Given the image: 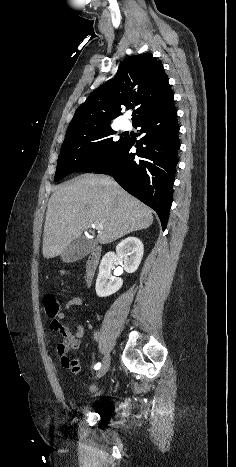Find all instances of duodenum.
<instances>
[{"label":"duodenum","mask_w":236,"mask_h":467,"mask_svg":"<svg viewBox=\"0 0 236 467\" xmlns=\"http://www.w3.org/2000/svg\"><path fill=\"white\" fill-rule=\"evenodd\" d=\"M102 256V248L99 245H94L91 248V251L89 253L86 266H85V273H84V278H85V283L88 285L91 283L93 280Z\"/></svg>","instance_id":"obj_1"}]
</instances>
